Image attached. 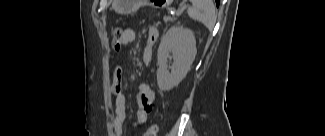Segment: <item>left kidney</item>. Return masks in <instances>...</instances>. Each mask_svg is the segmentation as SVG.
<instances>
[{
  "label": "left kidney",
  "mask_w": 325,
  "mask_h": 136,
  "mask_svg": "<svg viewBox=\"0 0 325 136\" xmlns=\"http://www.w3.org/2000/svg\"><path fill=\"white\" fill-rule=\"evenodd\" d=\"M196 53V40L191 29L174 25L165 33L157 52V83L161 91L173 89L185 78ZM170 57L174 61L171 71L168 69Z\"/></svg>",
  "instance_id": "5707ae66"
}]
</instances>
